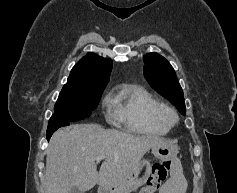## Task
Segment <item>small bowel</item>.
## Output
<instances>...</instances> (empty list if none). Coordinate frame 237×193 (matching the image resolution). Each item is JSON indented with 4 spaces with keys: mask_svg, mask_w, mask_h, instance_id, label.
Wrapping results in <instances>:
<instances>
[{
    "mask_svg": "<svg viewBox=\"0 0 237 193\" xmlns=\"http://www.w3.org/2000/svg\"><path fill=\"white\" fill-rule=\"evenodd\" d=\"M187 181L177 160L171 161V177L161 187L159 193H185Z\"/></svg>",
    "mask_w": 237,
    "mask_h": 193,
    "instance_id": "c3829d8e",
    "label": "small bowel"
}]
</instances>
